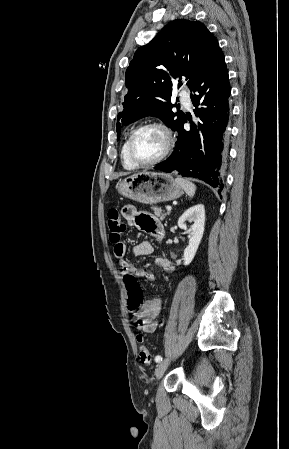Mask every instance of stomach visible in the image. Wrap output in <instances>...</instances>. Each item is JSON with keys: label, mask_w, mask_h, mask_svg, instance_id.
Returning a JSON list of instances; mask_svg holds the SVG:
<instances>
[{"label": "stomach", "mask_w": 289, "mask_h": 449, "mask_svg": "<svg viewBox=\"0 0 289 449\" xmlns=\"http://www.w3.org/2000/svg\"><path fill=\"white\" fill-rule=\"evenodd\" d=\"M116 189L122 196L143 204L171 201L183 193L171 174L147 171L120 180Z\"/></svg>", "instance_id": "1"}]
</instances>
